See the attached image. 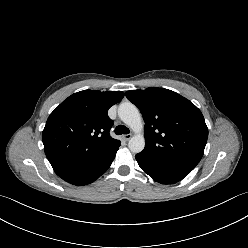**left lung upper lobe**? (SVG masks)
<instances>
[{
	"instance_id": "obj_1",
	"label": "left lung upper lobe",
	"mask_w": 248,
	"mask_h": 248,
	"mask_svg": "<svg viewBox=\"0 0 248 248\" xmlns=\"http://www.w3.org/2000/svg\"><path fill=\"white\" fill-rule=\"evenodd\" d=\"M145 121L139 154L160 163L194 169L203 156L208 128L201 111L178 93L158 87L125 92Z\"/></svg>"
}]
</instances>
